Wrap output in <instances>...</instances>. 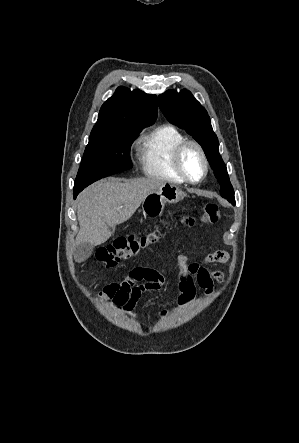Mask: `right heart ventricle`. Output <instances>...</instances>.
Returning <instances> with one entry per match:
<instances>
[{
  "label": "right heart ventricle",
  "mask_w": 299,
  "mask_h": 443,
  "mask_svg": "<svg viewBox=\"0 0 299 443\" xmlns=\"http://www.w3.org/2000/svg\"><path fill=\"white\" fill-rule=\"evenodd\" d=\"M185 135L174 125L164 124L147 134L139 148L143 173L149 177L184 183L174 165L177 146L185 141Z\"/></svg>",
  "instance_id": "e07e8e85"
}]
</instances>
